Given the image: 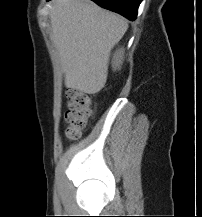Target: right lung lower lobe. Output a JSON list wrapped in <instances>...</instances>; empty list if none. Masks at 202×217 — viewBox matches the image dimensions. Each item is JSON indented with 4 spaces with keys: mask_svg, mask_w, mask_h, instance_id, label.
Instances as JSON below:
<instances>
[{
    "mask_svg": "<svg viewBox=\"0 0 202 217\" xmlns=\"http://www.w3.org/2000/svg\"><path fill=\"white\" fill-rule=\"evenodd\" d=\"M49 1V0H48ZM98 5L119 13L133 21L137 17V10L142 0H92Z\"/></svg>",
    "mask_w": 202,
    "mask_h": 217,
    "instance_id": "98d812e1",
    "label": "right lung lower lobe"
}]
</instances>
